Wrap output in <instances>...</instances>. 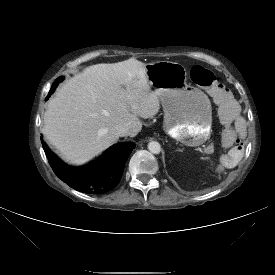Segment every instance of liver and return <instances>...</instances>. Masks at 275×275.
Listing matches in <instances>:
<instances>
[{
	"instance_id": "obj_1",
	"label": "liver",
	"mask_w": 275,
	"mask_h": 275,
	"mask_svg": "<svg viewBox=\"0 0 275 275\" xmlns=\"http://www.w3.org/2000/svg\"><path fill=\"white\" fill-rule=\"evenodd\" d=\"M160 100L151 91L145 64L135 58L87 67L66 81L44 114L45 138L72 164H83L117 140L111 130L130 127L135 137L139 117L155 116Z\"/></svg>"
}]
</instances>
